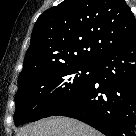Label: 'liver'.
I'll list each match as a JSON object with an SVG mask.
<instances>
[{
    "mask_svg": "<svg viewBox=\"0 0 136 136\" xmlns=\"http://www.w3.org/2000/svg\"><path fill=\"white\" fill-rule=\"evenodd\" d=\"M18 136H101L92 127L67 117H51L27 125Z\"/></svg>",
    "mask_w": 136,
    "mask_h": 136,
    "instance_id": "6515ba94",
    "label": "liver"
}]
</instances>
